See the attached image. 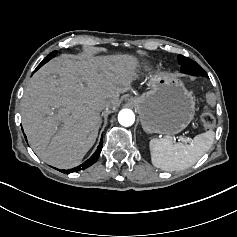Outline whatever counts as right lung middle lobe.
Masks as SVG:
<instances>
[{"label":"right lung middle lobe","instance_id":"dd1d6c3e","mask_svg":"<svg viewBox=\"0 0 237 237\" xmlns=\"http://www.w3.org/2000/svg\"><path fill=\"white\" fill-rule=\"evenodd\" d=\"M56 55V51L51 52L49 55H47V57L39 64V66L36 68V70H38L41 66H43L46 62H48L52 57H54ZM35 70V71H36ZM34 71V72H35Z\"/></svg>","mask_w":237,"mask_h":237}]
</instances>
